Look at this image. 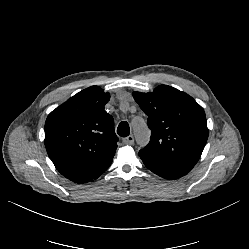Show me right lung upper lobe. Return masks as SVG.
Masks as SVG:
<instances>
[{
    "label": "right lung upper lobe",
    "mask_w": 249,
    "mask_h": 249,
    "mask_svg": "<svg viewBox=\"0 0 249 249\" xmlns=\"http://www.w3.org/2000/svg\"><path fill=\"white\" fill-rule=\"evenodd\" d=\"M109 93L91 86L53 110L45 122V147L57 170L86 183L111 164L118 138L113 117L104 110Z\"/></svg>",
    "instance_id": "obj_1"
}]
</instances>
